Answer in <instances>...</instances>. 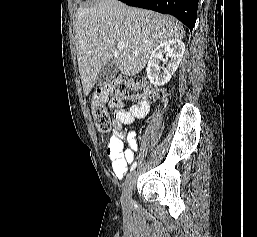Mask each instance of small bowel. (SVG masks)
<instances>
[{"mask_svg":"<svg viewBox=\"0 0 257 237\" xmlns=\"http://www.w3.org/2000/svg\"><path fill=\"white\" fill-rule=\"evenodd\" d=\"M113 128L114 134L106 148V155L111 161V166L116 178L121 179L127 172L128 165L133 161L134 152L138 149V140L135 132L127 134L128 147L123 142L122 128L131 125L136 119L144 118L149 111V103L140 101L127 108L123 104L114 107Z\"/></svg>","mask_w":257,"mask_h":237,"instance_id":"small-bowel-1","label":"small bowel"}]
</instances>
